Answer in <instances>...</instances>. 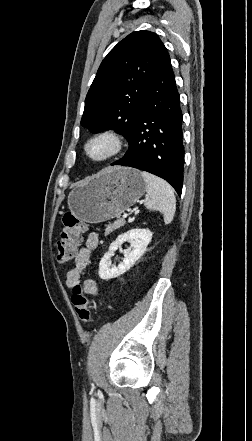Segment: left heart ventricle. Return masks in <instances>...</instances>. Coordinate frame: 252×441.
Wrapping results in <instances>:
<instances>
[{"mask_svg": "<svg viewBox=\"0 0 252 441\" xmlns=\"http://www.w3.org/2000/svg\"><path fill=\"white\" fill-rule=\"evenodd\" d=\"M110 148V144L105 140H100L92 143L89 147V152L93 157H101L105 155Z\"/></svg>", "mask_w": 252, "mask_h": 441, "instance_id": "b2bd125f", "label": "left heart ventricle"}]
</instances>
